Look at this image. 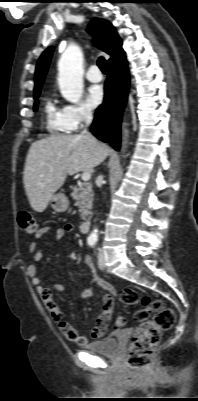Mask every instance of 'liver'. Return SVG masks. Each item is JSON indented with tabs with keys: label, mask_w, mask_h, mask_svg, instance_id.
<instances>
[{
	"label": "liver",
	"mask_w": 198,
	"mask_h": 401,
	"mask_svg": "<svg viewBox=\"0 0 198 401\" xmlns=\"http://www.w3.org/2000/svg\"><path fill=\"white\" fill-rule=\"evenodd\" d=\"M108 153L106 145L82 134L52 135L32 143L23 183L33 210L43 212L67 175L91 171Z\"/></svg>",
	"instance_id": "obj_1"
}]
</instances>
